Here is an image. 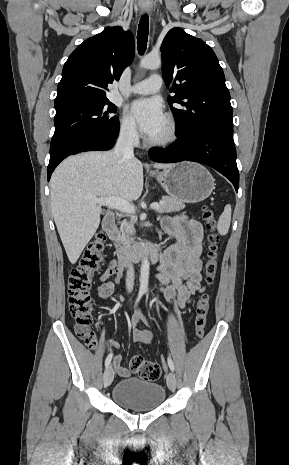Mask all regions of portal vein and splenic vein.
<instances>
[{"instance_id": "18ae733b", "label": "portal vein and splenic vein", "mask_w": 289, "mask_h": 465, "mask_svg": "<svg viewBox=\"0 0 289 465\" xmlns=\"http://www.w3.org/2000/svg\"><path fill=\"white\" fill-rule=\"evenodd\" d=\"M95 202L101 206H107L109 208H114L128 214H134L135 207L130 204L128 201L117 198L115 196L105 197V198H94ZM152 209L156 210L160 207V204L154 202L150 206Z\"/></svg>"}]
</instances>
